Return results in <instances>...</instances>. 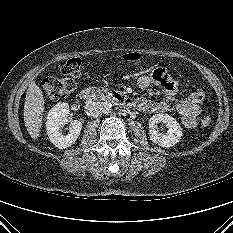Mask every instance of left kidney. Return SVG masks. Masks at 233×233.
<instances>
[{"label":"left kidney","mask_w":233,"mask_h":233,"mask_svg":"<svg viewBox=\"0 0 233 233\" xmlns=\"http://www.w3.org/2000/svg\"><path fill=\"white\" fill-rule=\"evenodd\" d=\"M163 122L168 128L167 133H159L157 124ZM149 136L153 143L168 148L177 144L182 137V128L172 116L168 114H155L149 120Z\"/></svg>","instance_id":"1"}]
</instances>
